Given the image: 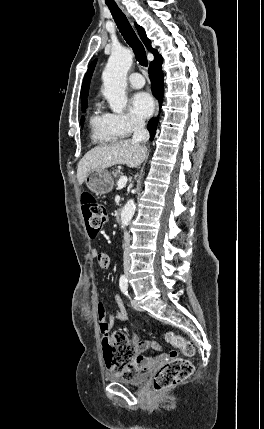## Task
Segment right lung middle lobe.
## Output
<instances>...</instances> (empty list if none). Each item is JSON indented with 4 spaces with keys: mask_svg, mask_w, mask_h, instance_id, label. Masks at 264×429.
Here are the masks:
<instances>
[{
    "mask_svg": "<svg viewBox=\"0 0 264 429\" xmlns=\"http://www.w3.org/2000/svg\"><path fill=\"white\" fill-rule=\"evenodd\" d=\"M87 108V105H83L82 106V110L84 111V109ZM83 121H84V117L81 118V125H83Z\"/></svg>",
    "mask_w": 264,
    "mask_h": 429,
    "instance_id": "obj_1",
    "label": "right lung middle lobe"
}]
</instances>
